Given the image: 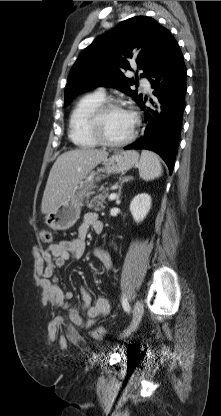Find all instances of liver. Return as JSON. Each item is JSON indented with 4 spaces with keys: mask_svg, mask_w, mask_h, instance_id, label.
Segmentation results:
<instances>
[{
    "mask_svg": "<svg viewBox=\"0 0 221 416\" xmlns=\"http://www.w3.org/2000/svg\"><path fill=\"white\" fill-rule=\"evenodd\" d=\"M108 152L82 148L61 154L53 164L44 190L41 212L48 214L62 204L77 185L101 162Z\"/></svg>",
    "mask_w": 221,
    "mask_h": 416,
    "instance_id": "obj_1",
    "label": "liver"
}]
</instances>
